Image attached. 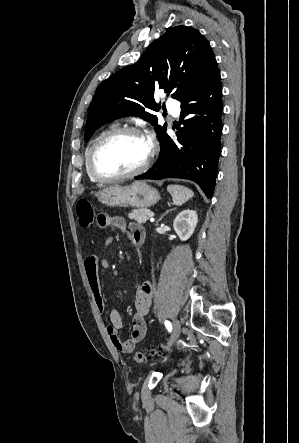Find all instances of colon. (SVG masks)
Returning a JSON list of instances; mask_svg holds the SVG:
<instances>
[{
  "mask_svg": "<svg viewBox=\"0 0 299 443\" xmlns=\"http://www.w3.org/2000/svg\"><path fill=\"white\" fill-rule=\"evenodd\" d=\"M77 215L79 218V224L83 229H89L95 223H97L93 206L88 200H80L77 203ZM163 349L164 347L159 349H148L145 351H137L134 354V360L137 363H144L146 362L148 355L149 356L157 355Z\"/></svg>",
  "mask_w": 299,
  "mask_h": 443,
  "instance_id": "1",
  "label": "colon"
}]
</instances>
